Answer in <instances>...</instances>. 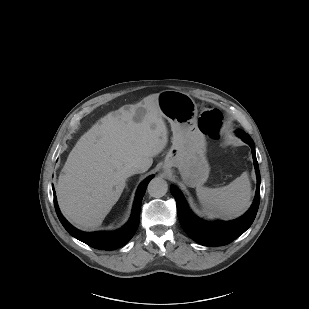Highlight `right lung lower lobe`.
Segmentation results:
<instances>
[{"label": "right lung lower lobe", "mask_w": 309, "mask_h": 309, "mask_svg": "<svg viewBox=\"0 0 309 309\" xmlns=\"http://www.w3.org/2000/svg\"><path fill=\"white\" fill-rule=\"evenodd\" d=\"M153 176L145 179L138 188L137 195L134 201V206L132 210V215L129 222L120 230L115 232H94L86 233L75 229L71 226L65 218L62 216L55 195V190L53 187L54 194V206L56 209L57 216L64 226V228L76 239L86 243L87 245L100 249V250H114L123 245H125L135 234L140 220V207L142 198L145 194L146 187ZM53 186V184H52Z\"/></svg>", "instance_id": "98d812e1"}]
</instances>
